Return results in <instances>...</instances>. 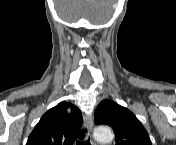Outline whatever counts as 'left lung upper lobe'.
Listing matches in <instances>:
<instances>
[{"mask_svg":"<svg viewBox=\"0 0 176 145\" xmlns=\"http://www.w3.org/2000/svg\"><path fill=\"white\" fill-rule=\"evenodd\" d=\"M94 122L113 128L116 145H152L147 131L136 116L111 100H104L99 104Z\"/></svg>","mask_w":176,"mask_h":145,"instance_id":"obj_1","label":"left lung upper lobe"}]
</instances>
